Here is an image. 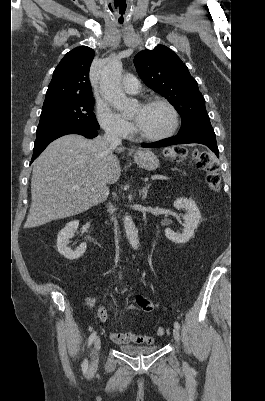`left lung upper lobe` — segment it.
I'll return each mask as SVG.
<instances>
[{"label":"left lung upper lobe","instance_id":"5c2ea615","mask_svg":"<svg viewBox=\"0 0 265 401\" xmlns=\"http://www.w3.org/2000/svg\"><path fill=\"white\" fill-rule=\"evenodd\" d=\"M134 64L144 83L164 96L180 114L179 132L210 122L196 80L171 49L158 45L153 50L141 51Z\"/></svg>","mask_w":265,"mask_h":401}]
</instances>
